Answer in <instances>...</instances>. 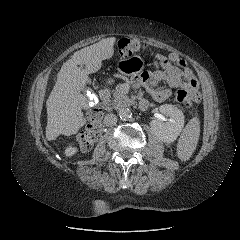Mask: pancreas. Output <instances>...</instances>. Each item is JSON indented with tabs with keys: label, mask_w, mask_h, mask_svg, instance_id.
I'll use <instances>...</instances> for the list:
<instances>
[{
	"label": "pancreas",
	"mask_w": 240,
	"mask_h": 240,
	"mask_svg": "<svg viewBox=\"0 0 240 240\" xmlns=\"http://www.w3.org/2000/svg\"><path fill=\"white\" fill-rule=\"evenodd\" d=\"M110 102V106H112L113 108H118L122 106H127L130 103V99L126 94L122 92L121 86L118 85L113 92V98L112 100H110Z\"/></svg>",
	"instance_id": "pancreas-1"
}]
</instances>
